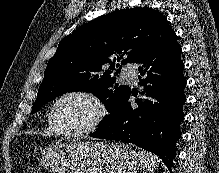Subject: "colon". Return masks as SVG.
Returning a JSON list of instances; mask_svg holds the SVG:
<instances>
[{"instance_id":"1","label":"colon","mask_w":219,"mask_h":173,"mask_svg":"<svg viewBox=\"0 0 219 173\" xmlns=\"http://www.w3.org/2000/svg\"><path fill=\"white\" fill-rule=\"evenodd\" d=\"M26 173H40L39 169L35 166H31L27 169Z\"/></svg>"}]
</instances>
